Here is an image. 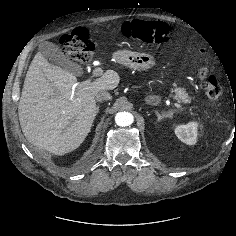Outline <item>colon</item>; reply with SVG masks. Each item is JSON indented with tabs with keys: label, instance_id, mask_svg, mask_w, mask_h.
<instances>
[{
	"label": "colon",
	"instance_id": "1",
	"mask_svg": "<svg viewBox=\"0 0 236 236\" xmlns=\"http://www.w3.org/2000/svg\"><path fill=\"white\" fill-rule=\"evenodd\" d=\"M124 36L140 40L149 44L166 43L171 40L170 28L162 22H150L140 19L127 21L122 26ZM64 54L67 59L78 63H86L90 60L93 45L89 32L84 27H76L70 33L61 37ZM201 88L211 99H218L223 92L221 80L210 74L206 65L199 70Z\"/></svg>",
	"mask_w": 236,
	"mask_h": 236
}]
</instances>
